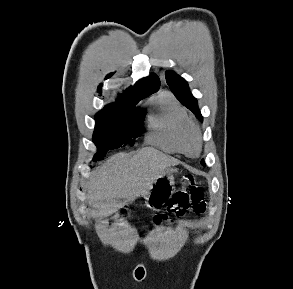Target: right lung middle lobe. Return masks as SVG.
I'll return each instance as SVG.
<instances>
[{"label":"right lung middle lobe","instance_id":"right-lung-middle-lobe-1","mask_svg":"<svg viewBox=\"0 0 293 289\" xmlns=\"http://www.w3.org/2000/svg\"><path fill=\"white\" fill-rule=\"evenodd\" d=\"M138 102L136 100L111 105L97 113L93 142L98 153L94 156V161L102 159L106 151L126 145L142 132L140 125L144 121L145 110L133 112Z\"/></svg>","mask_w":293,"mask_h":289}]
</instances>
